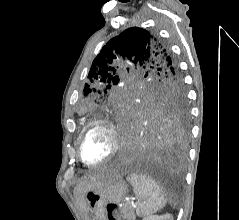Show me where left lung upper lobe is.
Returning a JSON list of instances; mask_svg holds the SVG:
<instances>
[{"mask_svg": "<svg viewBox=\"0 0 239 220\" xmlns=\"http://www.w3.org/2000/svg\"><path fill=\"white\" fill-rule=\"evenodd\" d=\"M135 70L132 79L126 70ZM78 111L99 118L137 110L187 111L177 60L154 33L133 27L112 38L93 60Z\"/></svg>", "mask_w": 239, "mask_h": 220, "instance_id": "1", "label": "left lung upper lobe"}]
</instances>
